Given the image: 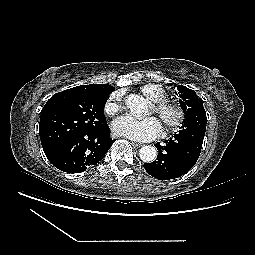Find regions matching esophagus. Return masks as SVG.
Returning <instances> with one entry per match:
<instances>
[{
  "instance_id": "obj_1",
  "label": "esophagus",
  "mask_w": 255,
  "mask_h": 255,
  "mask_svg": "<svg viewBox=\"0 0 255 255\" xmlns=\"http://www.w3.org/2000/svg\"><path fill=\"white\" fill-rule=\"evenodd\" d=\"M132 145H134L135 147H141L143 144L142 143H139V142H134L132 141Z\"/></svg>"
}]
</instances>
